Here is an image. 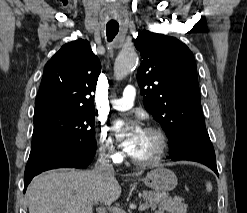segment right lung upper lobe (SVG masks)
<instances>
[{
  "instance_id": "obj_1",
  "label": "right lung upper lobe",
  "mask_w": 247,
  "mask_h": 213,
  "mask_svg": "<svg viewBox=\"0 0 247 213\" xmlns=\"http://www.w3.org/2000/svg\"><path fill=\"white\" fill-rule=\"evenodd\" d=\"M101 65L87 40L69 42L47 62L34 113L50 108L94 110Z\"/></svg>"
}]
</instances>
